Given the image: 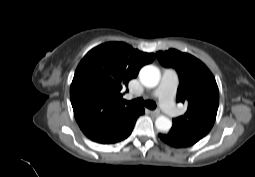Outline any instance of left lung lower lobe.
I'll list each match as a JSON object with an SVG mask.
<instances>
[{
  "mask_svg": "<svg viewBox=\"0 0 255 177\" xmlns=\"http://www.w3.org/2000/svg\"><path fill=\"white\" fill-rule=\"evenodd\" d=\"M158 136L163 142L176 148L188 147L199 141V139L184 134L174 128H171L168 133L159 134Z\"/></svg>",
  "mask_w": 255,
  "mask_h": 177,
  "instance_id": "1",
  "label": "left lung lower lobe"
}]
</instances>
